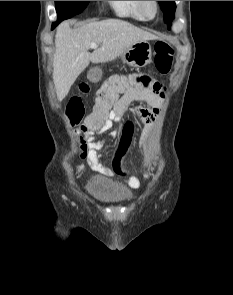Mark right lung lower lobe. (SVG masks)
Masks as SVG:
<instances>
[{
    "mask_svg": "<svg viewBox=\"0 0 233 295\" xmlns=\"http://www.w3.org/2000/svg\"><path fill=\"white\" fill-rule=\"evenodd\" d=\"M59 23H60V21H57V22L53 23L52 24V29H54Z\"/></svg>",
    "mask_w": 233,
    "mask_h": 295,
    "instance_id": "98d812e1",
    "label": "right lung lower lobe"
}]
</instances>
